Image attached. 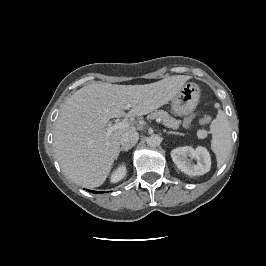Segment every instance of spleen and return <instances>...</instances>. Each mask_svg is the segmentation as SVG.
I'll return each instance as SVG.
<instances>
[{
	"instance_id": "1",
	"label": "spleen",
	"mask_w": 266,
	"mask_h": 266,
	"mask_svg": "<svg viewBox=\"0 0 266 266\" xmlns=\"http://www.w3.org/2000/svg\"><path fill=\"white\" fill-rule=\"evenodd\" d=\"M211 149L217 158V166L223 165L231 150V129L226 114L219 110L210 125Z\"/></svg>"
}]
</instances>
